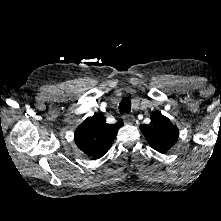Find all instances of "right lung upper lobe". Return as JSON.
I'll return each instance as SVG.
<instances>
[{"instance_id": "1", "label": "right lung upper lobe", "mask_w": 221, "mask_h": 221, "mask_svg": "<svg viewBox=\"0 0 221 221\" xmlns=\"http://www.w3.org/2000/svg\"><path fill=\"white\" fill-rule=\"evenodd\" d=\"M122 126L121 121L112 125L107 124L105 117L97 113L86 118L76 129L75 142L85 154L98 159L110 149L119 128Z\"/></svg>"}]
</instances>
